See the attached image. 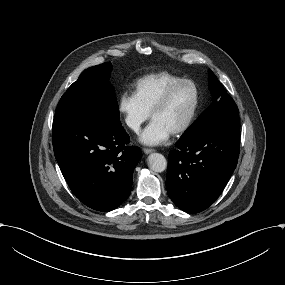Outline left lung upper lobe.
I'll return each mask as SVG.
<instances>
[{
  "mask_svg": "<svg viewBox=\"0 0 285 285\" xmlns=\"http://www.w3.org/2000/svg\"><path fill=\"white\" fill-rule=\"evenodd\" d=\"M209 87L212 95L214 96V101L187 129L182 138L188 137L195 130L216 119L232 115H239L235 102L227 94L226 90L223 88L222 84L218 81L217 77L211 70H209Z\"/></svg>",
  "mask_w": 285,
  "mask_h": 285,
  "instance_id": "5c2ea615",
  "label": "left lung upper lobe"
}]
</instances>
